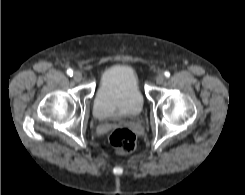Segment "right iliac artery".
Listing matches in <instances>:
<instances>
[{
    "instance_id": "obj_1",
    "label": "right iliac artery",
    "mask_w": 245,
    "mask_h": 195,
    "mask_svg": "<svg viewBox=\"0 0 245 195\" xmlns=\"http://www.w3.org/2000/svg\"><path fill=\"white\" fill-rule=\"evenodd\" d=\"M67 74H68L69 76H72V75H73V70H72V69H68V70H67Z\"/></svg>"
}]
</instances>
